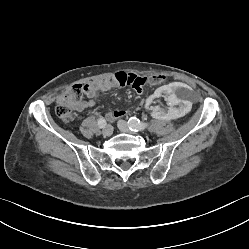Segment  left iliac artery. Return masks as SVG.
I'll list each match as a JSON object with an SVG mask.
<instances>
[{"label":"left iliac artery","mask_w":249,"mask_h":249,"mask_svg":"<svg viewBox=\"0 0 249 249\" xmlns=\"http://www.w3.org/2000/svg\"><path fill=\"white\" fill-rule=\"evenodd\" d=\"M128 127L131 131L138 132L146 129L148 124L140 122L136 117H131L128 121Z\"/></svg>","instance_id":"left-iliac-artery-1"}]
</instances>
